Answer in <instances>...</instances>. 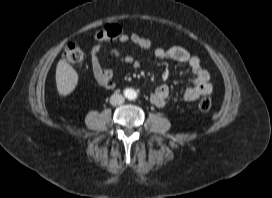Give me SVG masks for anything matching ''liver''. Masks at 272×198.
<instances>
[{"label": "liver", "instance_id": "liver-1", "mask_svg": "<svg viewBox=\"0 0 272 198\" xmlns=\"http://www.w3.org/2000/svg\"><path fill=\"white\" fill-rule=\"evenodd\" d=\"M56 86L61 96H67L74 91L78 83L76 70L65 60H60L56 67Z\"/></svg>", "mask_w": 272, "mask_h": 198}]
</instances>
